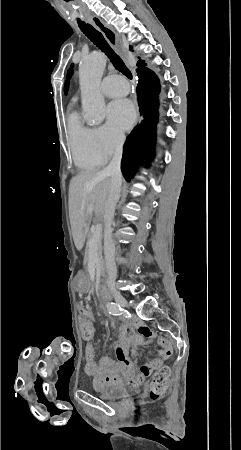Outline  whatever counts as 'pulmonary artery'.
I'll list each match as a JSON object with an SVG mask.
<instances>
[{"label": "pulmonary artery", "instance_id": "pulmonary-artery-1", "mask_svg": "<svg viewBox=\"0 0 241 450\" xmlns=\"http://www.w3.org/2000/svg\"><path fill=\"white\" fill-rule=\"evenodd\" d=\"M130 91V84L127 78H122L120 74H108L104 77L101 92L105 102H116L117 97L123 96Z\"/></svg>", "mask_w": 241, "mask_h": 450}]
</instances>
